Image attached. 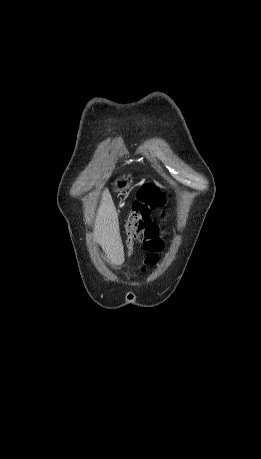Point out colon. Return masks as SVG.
Listing matches in <instances>:
<instances>
[{"label": "colon", "instance_id": "colon-1", "mask_svg": "<svg viewBox=\"0 0 261 459\" xmlns=\"http://www.w3.org/2000/svg\"><path fill=\"white\" fill-rule=\"evenodd\" d=\"M166 203L165 193L155 184L147 183L139 190L137 198L132 205V214L121 225L125 234V249L131 252L135 246V235L138 238H159L160 233L166 228L159 225H168V220L151 218L152 210Z\"/></svg>", "mask_w": 261, "mask_h": 459}]
</instances>
